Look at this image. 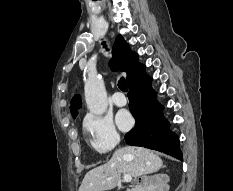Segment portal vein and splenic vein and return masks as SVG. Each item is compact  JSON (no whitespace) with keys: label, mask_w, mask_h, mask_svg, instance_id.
Masks as SVG:
<instances>
[{"label":"portal vein and splenic vein","mask_w":233,"mask_h":191,"mask_svg":"<svg viewBox=\"0 0 233 191\" xmlns=\"http://www.w3.org/2000/svg\"><path fill=\"white\" fill-rule=\"evenodd\" d=\"M124 181L129 183L132 181V176L130 174H124Z\"/></svg>","instance_id":"18ae733b"}]
</instances>
